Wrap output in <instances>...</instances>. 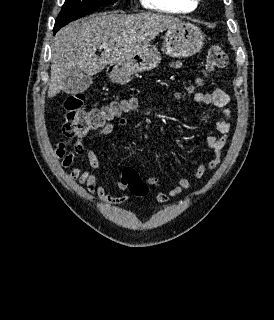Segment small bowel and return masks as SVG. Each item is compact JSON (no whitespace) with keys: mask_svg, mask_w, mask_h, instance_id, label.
Masks as SVG:
<instances>
[{"mask_svg":"<svg viewBox=\"0 0 274 320\" xmlns=\"http://www.w3.org/2000/svg\"><path fill=\"white\" fill-rule=\"evenodd\" d=\"M179 63H174V66H178ZM202 83V80H199ZM196 104H209L215 105L221 108L225 118L216 117L214 119V126L216 130L221 134L220 136L208 135L206 137V143L211 153V158L207 163H200L193 175L194 180H200L204 175L211 170L216 169L222 161L223 149L226 146L228 140V134L231 130L230 111L228 104L230 102L229 96L220 88H215L210 92L196 93L193 97ZM113 110L117 111V107L113 106ZM99 125L101 128L90 134L87 137H80L72 142L73 149L66 150L68 143L60 142L54 152L55 157L61 161L63 168H69L73 164L76 157L86 156L88 164L92 170H97L101 167V163L96 153L86 144L88 140H92L97 137L108 136L112 134L116 127L124 128L128 125V120L121 115H117L116 123L107 119H100ZM69 177L73 181H77L80 185L87 188L88 193L92 197H98L102 202L108 205H120L128 200L127 196H114L109 194L105 187L99 184L96 175L93 171L82 170L80 167H75L70 171ZM146 182L158 190L157 200L159 202H169L173 198L181 195L185 190L191 187V181L187 178L181 177L177 179L176 185L171 188L163 187L161 180L156 175H151L146 178ZM117 188L124 191L127 187L122 181H118Z\"/></svg>","mask_w":274,"mask_h":320,"instance_id":"1","label":"small bowel"}]
</instances>
